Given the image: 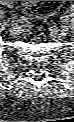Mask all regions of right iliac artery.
I'll list each match as a JSON object with an SVG mask.
<instances>
[{
    "label": "right iliac artery",
    "instance_id": "obj_1",
    "mask_svg": "<svg viewBox=\"0 0 74 122\" xmlns=\"http://www.w3.org/2000/svg\"><path fill=\"white\" fill-rule=\"evenodd\" d=\"M9 22H10L11 25H14V24L17 25V22H18V21H17L16 19H14V18H11V19L9 20Z\"/></svg>",
    "mask_w": 74,
    "mask_h": 122
}]
</instances>
